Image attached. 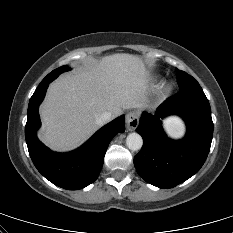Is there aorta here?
I'll use <instances>...</instances> for the list:
<instances>
[{
  "mask_svg": "<svg viewBox=\"0 0 233 233\" xmlns=\"http://www.w3.org/2000/svg\"><path fill=\"white\" fill-rule=\"evenodd\" d=\"M126 145L130 150L137 151L143 145L142 137L138 133H130L126 138Z\"/></svg>",
  "mask_w": 233,
  "mask_h": 233,
  "instance_id": "1",
  "label": "aorta"
}]
</instances>
